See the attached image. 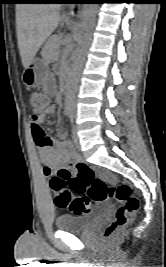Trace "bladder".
Returning <instances> with one entry per match:
<instances>
[{"label":"bladder","instance_id":"1","mask_svg":"<svg viewBox=\"0 0 166 267\" xmlns=\"http://www.w3.org/2000/svg\"><path fill=\"white\" fill-rule=\"evenodd\" d=\"M95 221L93 215H61L56 219L55 224L62 231L83 232L88 230Z\"/></svg>","mask_w":166,"mask_h":267}]
</instances>
